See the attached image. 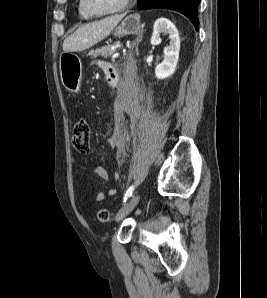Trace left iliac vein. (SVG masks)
<instances>
[{
    "instance_id": "obj_1",
    "label": "left iliac vein",
    "mask_w": 267,
    "mask_h": 298,
    "mask_svg": "<svg viewBox=\"0 0 267 298\" xmlns=\"http://www.w3.org/2000/svg\"><path fill=\"white\" fill-rule=\"evenodd\" d=\"M140 200V195H134L127 203H125L122 208L117 212L115 220L120 221L125 216H127L138 204Z\"/></svg>"
}]
</instances>
